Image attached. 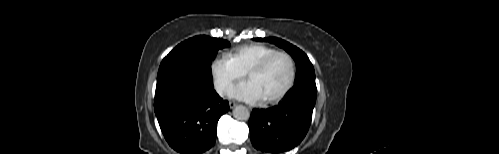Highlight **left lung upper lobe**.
Here are the masks:
<instances>
[{"label":"left lung upper lobe","mask_w":499,"mask_h":154,"mask_svg":"<svg viewBox=\"0 0 499 154\" xmlns=\"http://www.w3.org/2000/svg\"><path fill=\"white\" fill-rule=\"evenodd\" d=\"M256 40L269 41L270 43H274L280 48H283L293 57L297 68L295 84L315 82V71L313 65L302 50L290 44L289 42L276 37L257 38Z\"/></svg>","instance_id":"obj_1"}]
</instances>
